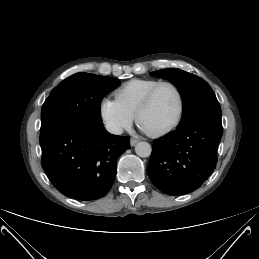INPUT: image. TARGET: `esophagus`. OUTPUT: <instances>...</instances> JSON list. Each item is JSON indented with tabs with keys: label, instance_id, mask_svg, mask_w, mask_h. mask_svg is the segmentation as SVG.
Wrapping results in <instances>:
<instances>
[{
	"label": "esophagus",
	"instance_id": "esophagus-1",
	"mask_svg": "<svg viewBox=\"0 0 259 259\" xmlns=\"http://www.w3.org/2000/svg\"><path fill=\"white\" fill-rule=\"evenodd\" d=\"M138 142H139L138 139H134V138H131V139H130V145H131L132 147L135 146Z\"/></svg>",
	"mask_w": 259,
	"mask_h": 259
}]
</instances>
